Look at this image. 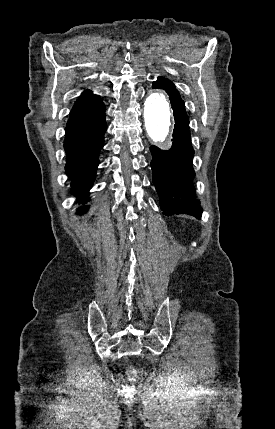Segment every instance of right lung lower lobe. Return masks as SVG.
Returning a JSON list of instances; mask_svg holds the SVG:
<instances>
[{"label": "right lung lower lobe", "instance_id": "1", "mask_svg": "<svg viewBox=\"0 0 275 429\" xmlns=\"http://www.w3.org/2000/svg\"><path fill=\"white\" fill-rule=\"evenodd\" d=\"M105 108L83 121L69 123L65 128L64 148L67 155L66 173L72 181L71 187L78 201L86 203L98 167V154L104 144L107 129ZM88 206L79 208L85 212Z\"/></svg>", "mask_w": 275, "mask_h": 429}]
</instances>
